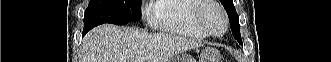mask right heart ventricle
I'll use <instances>...</instances> for the list:
<instances>
[{
	"label": "right heart ventricle",
	"mask_w": 331,
	"mask_h": 62,
	"mask_svg": "<svg viewBox=\"0 0 331 62\" xmlns=\"http://www.w3.org/2000/svg\"><path fill=\"white\" fill-rule=\"evenodd\" d=\"M200 0H160L152 10V17L165 32L195 40L208 37L194 22V12Z\"/></svg>",
	"instance_id": "1"
}]
</instances>
